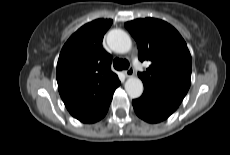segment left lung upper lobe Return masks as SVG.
<instances>
[{"label":"left lung upper lobe","mask_w":230,"mask_h":155,"mask_svg":"<svg viewBox=\"0 0 230 155\" xmlns=\"http://www.w3.org/2000/svg\"><path fill=\"white\" fill-rule=\"evenodd\" d=\"M138 46L140 61H151L146 71L138 73L145 86L152 87L181 103L191 84L192 59L178 31L155 18L125 23Z\"/></svg>","instance_id":"obj_1"}]
</instances>
